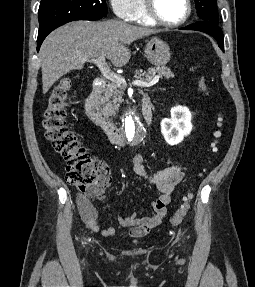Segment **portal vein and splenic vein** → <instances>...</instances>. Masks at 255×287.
Segmentation results:
<instances>
[{
  "label": "portal vein and splenic vein",
  "mask_w": 255,
  "mask_h": 287,
  "mask_svg": "<svg viewBox=\"0 0 255 287\" xmlns=\"http://www.w3.org/2000/svg\"><path fill=\"white\" fill-rule=\"evenodd\" d=\"M81 60H83V62H92V64H96L104 78H107V80H110V82L125 84V80L122 78V76H117V74H113V72L109 70L105 62V56H99V58H93V60H90V58H81ZM159 78L160 76H155L153 80H147V82H142V80H134L132 84L133 86H140V88H151V86H155V84L159 82Z\"/></svg>",
  "instance_id": "1"
}]
</instances>
